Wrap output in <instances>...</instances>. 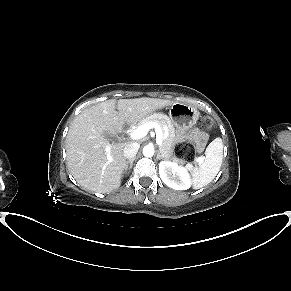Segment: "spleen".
<instances>
[{
	"label": "spleen",
	"mask_w": 291,
	"mask_h": 291,
	"mask_svg": "<svg viewBox=\"0 0 291 291\" xmlns=\"http://www.w3.org/2000/svg\"><path fill=\"white\" fill-rule=\"evenodd\" d=\"M222 159V139L216 138L207 146L202 164L192 170L195 189L206 186L216 177L220 170Z\"/></svg>",
	"instance_id": "spleen-1"
}]
</instances>
